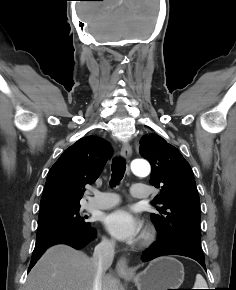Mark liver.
I'll return each instance as SVG.
<instances>
[{
	"instance_id": "1",
	"label": "liver",
	"mask_w": 236,
	"mask_h": 290,
	"mask_svg": "<svg viewBox=\"0 0 236 290\" xmlns=\"http://www.w3.org/2000/svg\"><path fill=\"white\" fill-rule=\"evenodd\" d=\"M96 267L82 251L59 244L46 250L28 275L24 290H93ZM102 290H118L117 279L104 274Z\"/></svg>"
}]
</instances>
